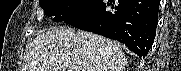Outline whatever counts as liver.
I'll list each match as a JSON object with an SVG mask.
<instances>
[{"label": "liver", "mask_w": 181, "mask_h": 71, "mask_svg": "<svg viewBox=\"0 0 181 71\" xmlns=\"http://www.w3.org/2000/svg\"><path fill=\"white\" fill-rule=\"evenodd\" d=\"M126 66L119 43L63 26L33 40L23 71H123Z\"/></svg>", "instance_id": "1"}]
</instances>
